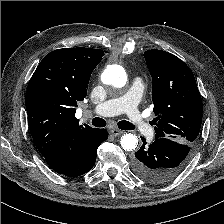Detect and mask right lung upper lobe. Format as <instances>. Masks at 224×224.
I'll return each mask as SVG.
<instances>
[{
    "label": "right lung upper lobe",
    "instance_id": "1",
    "mask_svg": "<svg viewBox=\"0 0 224 224\" xmlns=\"http://www.w3.org/2000/svg\"><path fill=\"white\" fill-rule=\"evenodd\" d=\"M104 52L64 48L50 52L32 75L26 91L29 129L38 151L49 166H58L71 149L96 129L79 125L78 101L86 97L92 71Z\"/></svg>",
    "mask_w": 224,
    "mask_h": 224
}]
</instances>
